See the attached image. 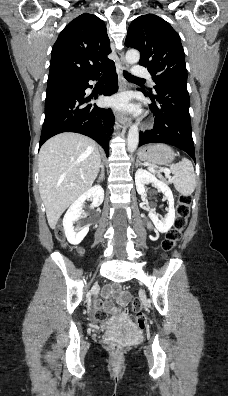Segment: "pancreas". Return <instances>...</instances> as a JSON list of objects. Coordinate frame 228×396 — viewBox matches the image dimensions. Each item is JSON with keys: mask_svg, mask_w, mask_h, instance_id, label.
<instances>
[{"mask_svg": "<svg viewBox=\"0 0 228 396\" xmlns=\"http://www.w3.org/2000/svg\"><path fill=\"white\" fill-rule=\"evenodd\" d=\"M159 178H160L161 180H163V181H166V179L163 178L161 175H159Z\"/></svg>", "mask_w": 228, "mask_h": 396, "instance_id": "pancreas-1", "label": "pancreas"}]
</instances>
